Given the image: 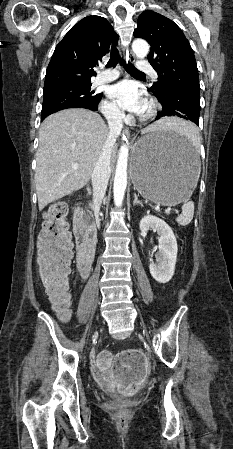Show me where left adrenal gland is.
I'll return each mask as SVG.
<instances>
[{"instance_id":"1","label":"left adrenal gland","mask_w":233,"mask_h":449,"mask_svg":"<svg viewBox=\"0 0 233 449\" xmlns=\"http://www.w3.org/2000/svg\"><path fill=\"white\" fill-rule=\"evenodd\" d=\"M139 204L141 207H143V203L141 201L138 200V197L136 194H134V201H133V205H137Z\"/></svg>"}]
</instances>
